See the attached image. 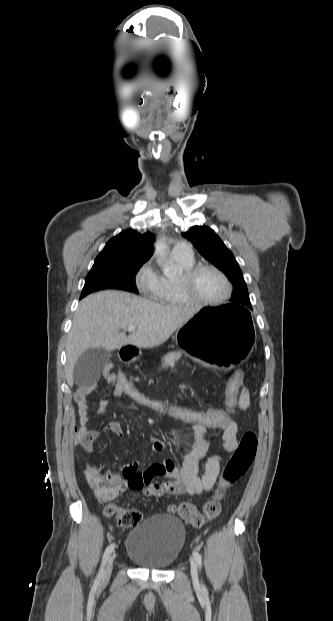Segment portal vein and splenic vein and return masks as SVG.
<instances>
[{
  "instance_id": "18ae733b",
  "label": "portal vein and splenic vein",
  "mask_w": 333,
  "mask_h": 621,
  "mask_svg": "<svg viewBox=\"0 0 333 621\" xmlns=\"http://www.w3.org/2000/svg\"><path fill=\"white\" fill-rule=\"evenodd\" d=\"M129 332H134L136 330V328L134 326H130L127 329Z\"/></svg>"
}]
</instances>
